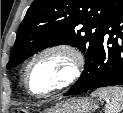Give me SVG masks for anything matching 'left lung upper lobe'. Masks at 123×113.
I'll return each instance as SVG.
<instances>
[{"instance_id": "5c2ea615", "label": "left lung upper lobe", "mask_w": 123, "mask_h": 113, "mask_svg": "<svg viewBox=\"0 0 123 113\" xmlns=\"http://www.w3.org/2000/svg\"><path fill=\"white\" fill-rule=\"evenodd\" d=\"M112 0H34L21 22L7 69L50 46L70 44L85 54L87 70L102 39Z\"/></svg>"}]
</instances>
